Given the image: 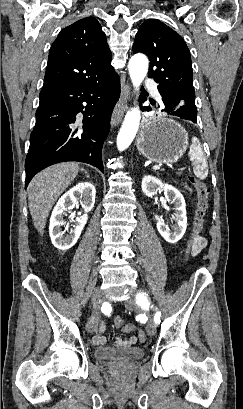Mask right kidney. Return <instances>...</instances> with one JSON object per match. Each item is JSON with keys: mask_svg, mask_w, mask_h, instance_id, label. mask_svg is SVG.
<instances>
[{"mask_svg": "<svg viewBox=\"0 0 243 409\" xmlns=\"http://www.w3.org/2000/svg\"><path fill=\"white\" fill-rule=\"evenodd\" d=\"M96 190L93 184L82 182L67 191L58 200L54 207L49 226V234L53 245L62 251L70 249L79 239L81 232L88 220V212L91 211L95 203ZM80 200L85 214L75 219L73 229L64 235L62 226L65 225L63 215L65 211L71 210Z\"/></svg>", "mask_w": 243, "mask_h": 409, "instance_id": "obj_1", "label": "right kidney"}]
</instances>
